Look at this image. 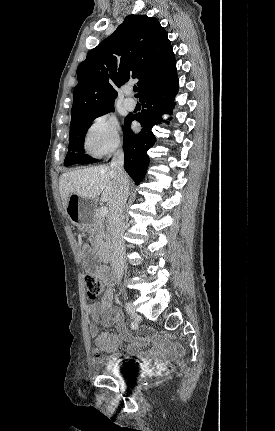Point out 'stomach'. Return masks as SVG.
Instances as JSON below:
<instances>
[{
  "mask_svg": "<svg viewBox=\"0 0 275 431\" xmlns=\"http://www.w3.org/2000/svg\"><path fill=\"white\" fill-rule=\"evenodd\" d=\"M94 202L91 199L71 194L66 207L70 221L82 231L90 230L93 223Z\"/></svg>",
  "mask_w": 275,
  "mask_h": 431,
  "instance_id": "1",
  "label": "stomach"
}]
</instances>
